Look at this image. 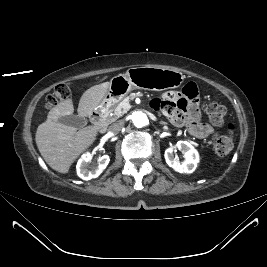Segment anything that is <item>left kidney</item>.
Here are the masks:
<instances>
[{"label": "left kidney", "instance_id": "1", "mask_svg": "<svg viewBox=\"0 0 267 267\" xmlns=\"http://www.w3.org/2000/svg\"><path fill=\"white\" fill-rule=\"evenodd\" d=\"M174 148H178L184 154L183 162L174 156ZM164 157L168 166L179 173H192L199 162L197 150L188 141H178L175 147L167 148Z\"/></svg>", "mask_w": 267, "mask_h": 267}]
</instances>
